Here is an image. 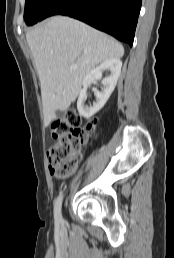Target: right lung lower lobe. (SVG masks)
<instances>
[{
  "instance_id": "right-lung-lower-lobe-1",
  "label": "right lung lower lobe",
  "mask_w": 174,
  "mask_h": 258,
  "mask_svg": "<svg viewBox=\"0 0 174 258\" xmlns=\"http://www.w3.org/2000/svg\"><path fill=\"white\" fill-rule=\"evenodd\" d=\"M141 3L142 0H52L43 19L59 14L70 16L132 46Z\"/></svg>"
}]
</instances>
